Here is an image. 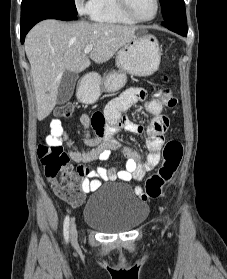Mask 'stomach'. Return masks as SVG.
<instances>
[{"mask_svg": "<svg viewBox=\"0 0 227 279\" xmlns=\"http://www.w3.org/2000/svg\"><path fill=\"white\" fill-rule=\"evenodd\" d=\"M161 51L159 42L148 35L143 28H138L135 37L121 47L116 55L118 71L109 73L101 82L86 81L77 91L78 99L87 104L95 103L102 91L115 92L120 90L127 81V74L149 76L159 67Z\"/></svg>", "mask_w": 227, "mask_h": 279, "instance_id": "0dacf381", "label": "stomach"}]
</instances>
